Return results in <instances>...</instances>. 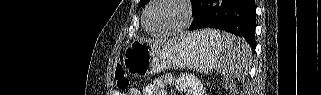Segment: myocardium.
I'll use <instances>...</instances> for the list:
<instances>
[{"mask_svg":"<svg viewBox=\"0 0 321 95\" xmlns=\"http://www.w3.org/2000/svg\"><path fill=\"white\" fill-rule=\"evenodd\" d=\"M161 0H152L148 3V5L146 6V8L144 9L143 12V19H142V24L144 29L151 35L156 36V37H166V36H172V35H176L179 34L181 32H183L192 22V18H193V11H192V7L191 4L188 0H173L176 3L180 4L183 8L184 11V20L182 22L181 25H179L177 28L167 31V32H162V33H156L151 31L148 26H147V17H148V12L149 10Z\"/></svg>","mask_w":321,"mask_h":95,"instance_id":"f54148a6","label":"myocardium"}]
</instances>
